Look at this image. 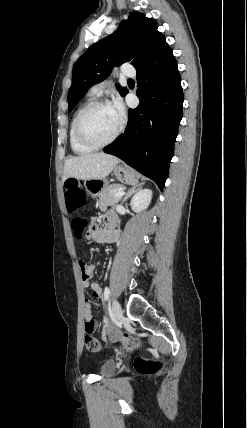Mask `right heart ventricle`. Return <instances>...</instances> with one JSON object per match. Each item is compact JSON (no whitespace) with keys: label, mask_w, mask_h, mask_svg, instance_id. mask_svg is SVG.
<instances>
[{"label":"right heart ventricle","mask_w":247,"mask_h":428,"mask_svg":"<svg viewBox=\"0 0 247 428\" xmlns=\"http://www.w3.org/2000/svg\"><path fill=\"white\" fill-rule=\"evenodd\" d=\"M95 96L96 95L93 93L88 94V96L86 97L84 102L78 106V108L75 110V112L72 116V120H71L70 127H69V142H70V146H71L72 151L76 154H80V155L88 154L94 150V148L86 146L78 140V138L76 136L75 127H76L77 118L79 117L80 113L90 103H92L94 101Z\"/></svg>","instance_id":"1"}]
</instances>
